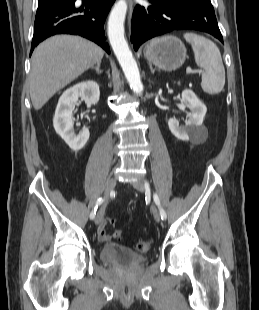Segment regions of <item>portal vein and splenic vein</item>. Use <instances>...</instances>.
<instances>
[{"mask_svg": "<svg viewBox=\"0 0 259 310\" xmlns=\"http://www.w3.org/2000/svg\"><path fill=\"white\" fill-rule=\"evenodd\" d=\"M186 73H187V74H193V73H200V71H199V70L193 71L190 67H187Z\"/></svg>", "mask_w": 259, "mask_h": 310, "instance_id": "1", "label": "portal vein and splenic vein"}]
</instances>
